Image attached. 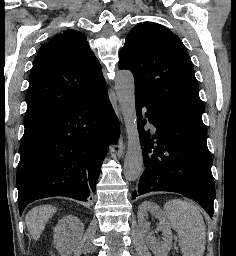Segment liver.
Masks as SVG:
<instances>
[{
  "label": "liver",
  "mask_w": 236,
  "mask_h": 256,
  "mask_svg": "<svg viewBox=\"0 0 236 256\" xmlns=\"http://www.w3.org/2000/svg\"><path fill=\"white\" fill-rule=\"evenodd\" d=\"M55 212L56 208H53V206H37V208H33V210H30V212L26 214V226L33 240H39L49 218H51Z\"/></svg>",
  "instance_id": "6515ba94"
}]
</instances>
